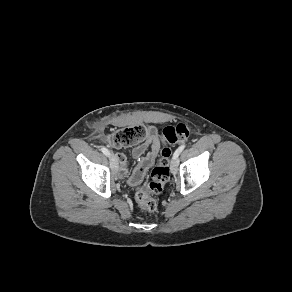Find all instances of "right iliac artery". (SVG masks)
Returning <instances> with one entry per match:
<instances>
[{"label":"right iliac artery","mask_w":292,"mask_h":292,"mask_svg":"<svg viewBox=\"0 0 292 292\" xmlns=\"http://www.w3.org/2000/svg\"><path fill=\"white\" fill-rule=\"evenodd\" d=\"M101 151L106 155V156H110V152L108 151V149H106L105 147L101 148Z\"/></svg>","instance_id":"82829eb1"}]
</instances>
